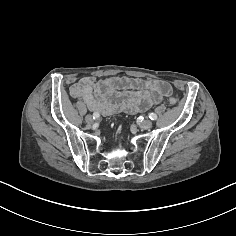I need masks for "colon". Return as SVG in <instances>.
Segmentation results:
<instances>
[{
  "label": "colon",
  "mask_w": 236,
  "mask_h": 236,
  "mask_svg": "<svg viewBox=\"0 0 236 236\" xmlns=\"http://www.w3.org/2000/svg\"><path fill=\"white\" fill-rule=\"evenodd\" d=\"M169 103L171 105H177L179 103V98L177 96H172L170 99H169Z\"/></svg>",
  "instance_id": "obj_1"
}]
</instances>
